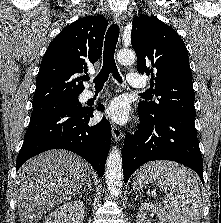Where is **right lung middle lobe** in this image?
<instances>
[{
  "instance_id": "dd1d6c3e",
  "label": "right lung middle lobe",
  "mask_w": 221,
  "mask_h": 223,
  "mask_svg": "<svg viewBox=\"0 0 221 223\" xmlns=\"http://www.w3.org/2000/svg\"><path fill=\"white\" fill-rule=\"evenodd\" d=\"M84 109L77 97L33 104L31 118L55 111H79Z\"/></svg>"
}]
</instances>
